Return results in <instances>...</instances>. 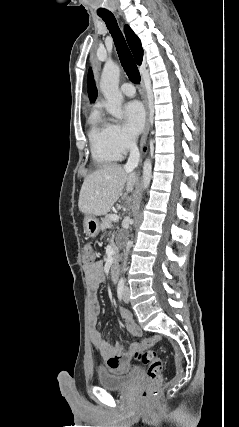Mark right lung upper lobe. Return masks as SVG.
<instances>
[{
    "instance_id": "right-lung-upper-lobe-1",
    "label": "right lung upper lobe",
    "mask_w": 239,
    "mask_h": 427,
    "mask_svg": "<svg viewBox=\"0 0 239 427\" xmlns=\"http://www.w3.org/2000/svg\"><path fill=\"white\" fill-rule=\"evenodd\" d=\"M124 33H125L128 45L134 55V58L137 64L140 65L142 63V58H143V50L141 47L140 40L128 25H125Z\"/></svg>"
}]
</instances>
